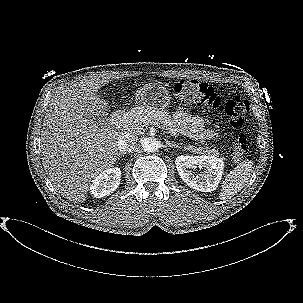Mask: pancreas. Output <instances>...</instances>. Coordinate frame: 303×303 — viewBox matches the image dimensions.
<instances>
[{"label": "pancreas", "instance_id": "pancreas-1", "mask_svg": "<svg viewBox=\"0 0 303 303\" xmlns=\"http://www.w3.org/2000/svg\"><path fill=\"white\" fill-rule=\"evenodd\" d=\"M151 122H156L161 124L163 128L171 133L174 125L171 115L164 110H149L142 107H138L128 111L122 120V127L126 131L130 132H140L144 127L149 125ZM186 149L199 154H207L213 157H224L220 156V153L215 149H210L208 147H194L189 145Z\"/></svg>", "mask_w": 303, "mask_h": 303}]
</instances>
